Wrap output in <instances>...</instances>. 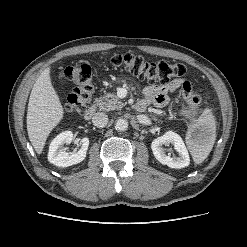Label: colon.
Masks as SVG:
<instances>
[{"instance_id": "1", "label": "colon", "mask_w": 247, "mask_h": 247, "mask_svg": "<svg viewBox=\"0 0 247 247\" xmlns=\"http://www.w3.org/2000/svg\"><path fill=\"white\" fill-rule=\"evenodd\" d=\"M111 62L114 67L150 82H171L186 73V67L182 63L149 62L132 54L117 55ZM60 76L76 84V88L67 96L66 111L71 114L83 113L94 92L91 67L86 63H75L62 70ZM181 94L191 109L199 110L202 107V99L194 92L191 82H182Z\"/></svg>"}]
</instances>
